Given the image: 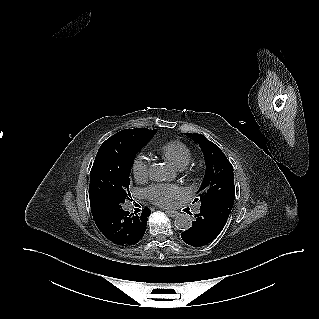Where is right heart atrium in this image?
Listing matches in <instances>:
<instances>
[{
	"label": "right heart atrium",
	"instance_id": "right-heart-atrium-1",
	"mask_svg": "<svg viewBox=\"0 0 319 319\" xmlns=\"http://www.w3.org/2000/svg\"><path fill=\"white\" fill-rule=\"evenodd\" d=\"M150 159L146 154H137L132 161V172L134 178L139 181H145L149 176Z\"/></svg>",
	"mask_w": 319,
	"mask_h": 319
}]
</instances>
